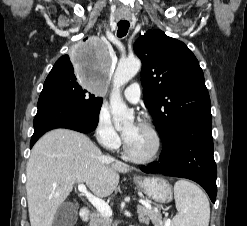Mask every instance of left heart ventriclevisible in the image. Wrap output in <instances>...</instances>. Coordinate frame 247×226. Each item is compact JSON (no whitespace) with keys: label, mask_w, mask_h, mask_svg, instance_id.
Wrapping results in <instances>:
<instances>
[{"label":"left heart ventricle","mask_w":247,"mask_h":226,"mask_svg":"<svg viewBox=\"0 0 247 226\" xmlns=\"http://www.w3.org/2000/svg\"><path fill=\"white\" fill-rule=\"evenodd\" d=\"M124 136L128 148L135 156L147 157L154 151L155 139L148 129L130 123L124 129Z\"/></svg>","instance_id":"left-heart-ventricle-1"}]
</instances>
